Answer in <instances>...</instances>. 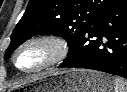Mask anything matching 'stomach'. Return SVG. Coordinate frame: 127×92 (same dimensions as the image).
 <instances>
[{
  "mask_svg": "<svg viewBox=\"0 0 127 92\" xmlns=\"http://www.w3.org/2000/svg\"><path fill=\"white\" fill-rule=\"evenodd\" d=\"M34 92H113L107 75L86 69L51 71L32 81Z\"/></svg>",
  "mask_w": 127,
  "mask_h": 92,
  "instance_id": "0dacf381",
  "label": "stomach"
}]
</instances>
